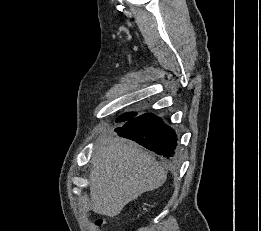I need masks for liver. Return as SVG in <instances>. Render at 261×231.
I'll use <instances>...</instances> for the list:
<instances>
[{"instance_id": "liver-1", "label": "liver", "mask_w": 261, "mask_h": 231, "mask_svg": "<svg viewBox=\"0 0 261 231\" xmlns=\"http://www.w3.org/2000/svg\"><path fill=\"white\" fill-rule=\"evenodd\" d=\"M91 163L92 210L109 217L142 193L159 188L167 177L153 156L118 136L99 138Z\"/></svg>"}]
</instances>
